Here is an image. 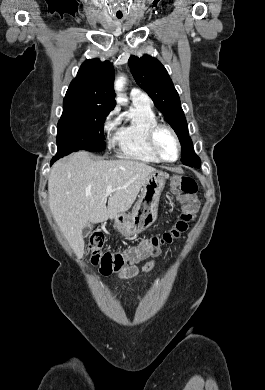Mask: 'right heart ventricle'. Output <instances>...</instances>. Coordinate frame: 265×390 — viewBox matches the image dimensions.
I'll return each instance as SVG.
<instances>
[{
  "instance_id": "right-heart-ventricle-1",
  "label": "right heart ventricle",
  "mask_w": 265,
  "mask_h": 390,
  "mask_svg": "<svg viewBox=\"0 0 265 390\" xmlns=\"http://www.w3.org/2000/svg\"><path fill=\"white\" fill-rule=\"evenodd\" d=\"M158 122L150 104L132 103V106L119 119V126L112 140L117 154L124 159L157 164L160 160L149 149L146 133Z\"/></svg>"
}]
</instances>
